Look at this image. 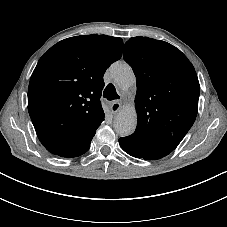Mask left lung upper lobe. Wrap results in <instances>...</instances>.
<instances>
[{
    "label": "left lung upper lobe",
    "mask_w": 227,
    "mask_h": 227,
    "mask_svg": "<svg viewBox=\"0 0 227 227\" xmlns=\"http://www.w3.org/2000/svg\"><path fill=\"white\" fill-rule=\"evenodd\" d=\"M124 59L137 78V127L130 135L172 152L193 125L199 82L188 58L173 45L148 37L130 38Z\"/></svg>",
    "instance_id": "obj_1"
}]
</instances>
